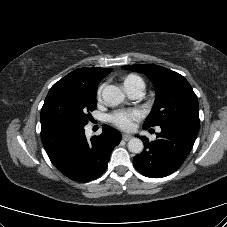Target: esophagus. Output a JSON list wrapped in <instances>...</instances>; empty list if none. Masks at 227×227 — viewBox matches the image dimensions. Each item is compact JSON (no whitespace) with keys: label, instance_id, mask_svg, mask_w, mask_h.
<instances>
[{"label":"esophagus","instance_id":"34e87169","mask_svg":"<svg viewBox=\"0 0 227 227\" xmlns=\"http://www.w3.org/2000/svg\"><path fill=\"white\" fill-rule=\"evenodd\" d=\"M132 137H133V136L130 135V134H123V135H122V138H123V140H125V141L130 140Z\"/></svg>","mask_w":227,"mask_h":227}]
</instances>
